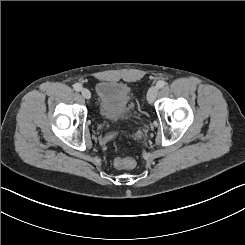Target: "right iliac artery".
<instances>
[{"label": "right iliac artery", "instance_id": "obj_1", "mask_svg": "<svg viewBox=\"0 0 245 245\" xmlns=\"http://www.w3.org/2000/svg\"><path fill=\"white\" fill-rule=\"evenodd\" d=\"M73 88H74V90H76V91H81L82 85L79 84V83H76V84L73 85Z\"/></svg>", "mask_w": 245, "mask_h": 245}]
</instances>
